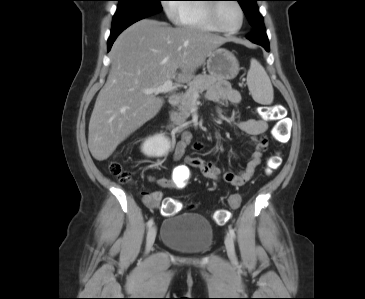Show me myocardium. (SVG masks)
<instances>
[{
    "label": "myocardium",
    "mask_w": 365,
    "mask_h": 299,
    "mask_svg": "<svg viewBox=\"0 0 365 299\" xmlns=\"http://www.w3.org/2000/svg\"><path fill=\"white\" fill-rule=\"evenodd\" d=\"M213 1H215V2L210 3L208 6V18H209L210 23L215 28V31L224 33V34H235V33L239 32L242 29V27L244 26V23L246 20L245 11H244V8L241 5V3L238 0H232L233 3L238 7L240 14H241L240 25L235 29H227V28L221 27L218 23L217 14H218V10L222 4V2H220L221 0H213Z\"/></svg>",
    "instance_id": "myocardium-1"
}]
</instances>
